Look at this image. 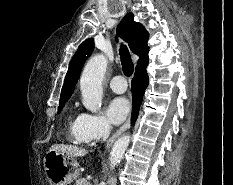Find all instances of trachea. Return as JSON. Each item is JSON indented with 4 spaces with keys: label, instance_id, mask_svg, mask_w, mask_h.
<instances>
[{
    "label": "trachea",
    "instance_id": "trachea-1",
    "mask_svg": "<svg viewBox=\"0 0 233 185\" xmlns=\"http://www.w3.org/2000/svg\"><path fill=\"white\" fill-rule=\"evenodd\" d=\"M120 59L122 63V70L126 76H131L134 71V64L131 60L130 53L125 45H122L120 50Z\"/></svg>",
    "mask_w": 233,
    "mask_h": 185
}]
</instances>
